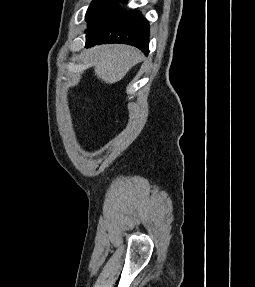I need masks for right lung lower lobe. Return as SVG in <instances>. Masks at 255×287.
Wrapping results in <instances>:
<instances>
[{"instance_id": "1", "label": "right lung lower lobe", "mask_w": 255, "mask_h": 287, "mask_svg": "<svg viewBox=\"0 0 255 287\" xmlns=\"http://www.w3.org/2000/svg\"><path fill=\"white\" fill-rule=\"evenodd\" d=\"M86 47L102 43H124L148 54L149 23L140 11H119L86 31Z\"/></svg>"}]
</instances>
